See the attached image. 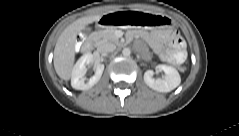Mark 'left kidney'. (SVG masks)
<instances>
[{
    "label": "left kidney",
    "instance_id": "left-kidney-1",
    "mask_svg": "<svg viewBox=\"0 0 239 136\" xmlns=\"http://www.w3.org/2000/svg\"><path fill=\"white\" fill-rule=\"evenodd\" d=\"M156 70L163 71L165 73V76L162 79H154V72L152 70H147L144 73V82L150 88L158 92L166 93L179 86L181 78L178 71L174 67L160 64L156 67Z\"/></svg>",
    "mask_w": 239,
    "mask_h": 136
}]
</instances>
